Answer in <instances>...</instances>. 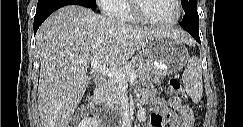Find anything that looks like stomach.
Segmentation results:
<instances>
[{"instance_id":"stomach-1","label":"stomach","mask_w":243,"mask_h":127,"mask_svg":"<svg viewBox=\"0 0 243 127\" xmlns=\"http://www.w3.org/2000/svg\"><path fill=\"white\" fill-rule=\"evenodd\" d=\"M140 66L148 71V79L159 83L163 76L177 73L188 60V51L179 40L168 35L150 37L139 50Z\"/></svg>"}]
</instances>
